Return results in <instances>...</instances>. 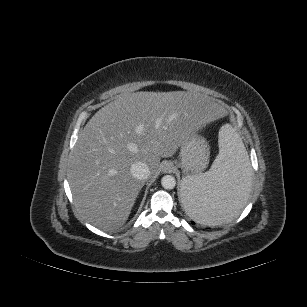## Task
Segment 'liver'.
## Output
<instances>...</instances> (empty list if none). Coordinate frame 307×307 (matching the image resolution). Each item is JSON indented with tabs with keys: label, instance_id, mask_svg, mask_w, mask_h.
Masks as SVG:
<instances>
[{
	"label": "liver",
	"instance_id": "1",
	"mask_svg": "<svg viewBox=\"0 0 307 307\" xmlns=\"http://www.w3.org/2000/svg\"><path fill=\"white\" fill-rule=\"evenodd\" d=\"M225 115L221 103L189 92L120 95L95 113L72 150L68 179L78 212L104 231L122 227L144 185L131 165L144 162L156 176L161 157Z\"/></svg>",
	"mask_w": 307,
	"mask_h": 307
}]
</instances>
